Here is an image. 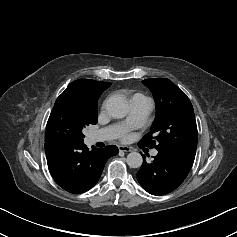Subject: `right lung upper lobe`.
<instances>
[{"mask_svg":"<svg viewBox=\"0 0 237 237\" xmlns=\"http://www.w3.org/2000/svg\"><path fill=\"white\" fill-rule=\"evenodd\" d=\"M110 85V82L79 79L70 83L61 95L82 103L88 109L95 110L100 95Z\"/></svg>","mask_w":237,"mask_h":237,"instance_id":"right-lung-upper-lobe-1","label":"right lung upper lobe"}]
</instances>
